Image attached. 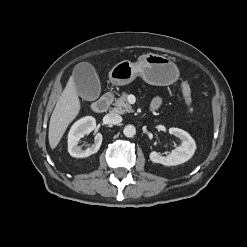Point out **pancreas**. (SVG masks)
Segmentation results:
<instances>
[{"mask_svg": "<svg viewBox=\"0 0 247 247\" xmlns=\"http://www.w3.org/2000/svg\"><path fill=\"white\" fill-rule=\"evenodd\" d=\"M128 94L123 93L119 98L115 100L113 112L124 114L133 112L132 106L127 101Z\"/></svg>", "mask_w": 247, "mask_h": 247, "instance_id": "obj_1", "label": "pancreas"}]
</instances>
